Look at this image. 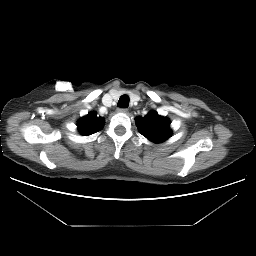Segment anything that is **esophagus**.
I'll return each mask as SVG.
<instances>
[{
	"instance_id": "obj_1",
	"label": "esophagus",
	"mask_w": 256,
	"mask_h": 256,
	"mask_svg": "<svg viewBox=\"0 0 256 256\" xmlns=\"http://www.w3.org/2000/svg\"><path fill=\"white\" fill-rule=\"evenodd\" d=\"M118 112L126 114L128 112V109L127 108H120V109H118Z\"/></svg>"
}]
</instances>
